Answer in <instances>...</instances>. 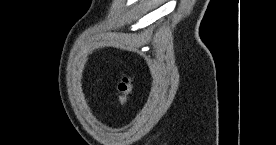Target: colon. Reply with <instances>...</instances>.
I'll return each instance as SVG.
<instances>
[{
  "label": "colon",
  "instance_id": "5ec220e1",
  "mask_svg": "<svg viewBox=\"0 0 276 145\" xmlns=\"http://www.w3.org/2000/svg\"><path fill=\"white\" fill-rule=\"evenodd\" d=\"M133 91V81L129 76H124L118 84L117 105L124 106Z\"/></svg>",
  "mask_w": 276,
  "mask_h": 145
}]
</instances>
